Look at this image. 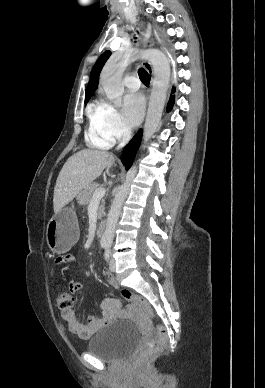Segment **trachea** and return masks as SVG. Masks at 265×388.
<instances>
[{"instance_id":"obj_1","label":"trachea","mask_w":265,"mask_h":388,"mask_svg":"<svg viewBox=\"0 0 265 388\" xmlns=\"http://www.w3.org/2000/svg\"><path fill=\"white\" fill-rule=\"evenodd\" d=\"M138 73H139V76L141 78V80L145 83V84H148L150 82V77L147 73L146 70H144L143 68H140L138 70Z\"/></svg>"}]
</instances>
